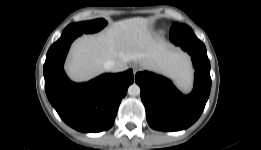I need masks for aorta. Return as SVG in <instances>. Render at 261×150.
I'll use <instances>...</instances> for the list:
<instances>
[{
    "mask_svg": "<svg viewBox=\"0 0 261 150\" xmlns=\"http://www.w3.org/2000/svg\"><path fill=\"white\" fill-rule=\"evenodd\" d=\"M128 94L130 96H138L140 94V87L136 83H133L128 88Z\"/></svg>",
    "mask_w": 261,
    "mask_h": 150,
    "instance_id": "obj_1",
    "label": "aorta"
}]
</instances>
